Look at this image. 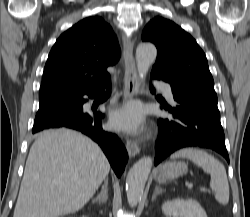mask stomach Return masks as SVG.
<instances>
[{
	"label": "stomach",
	"instance_id": "obj_1",
	"mask_svg": "<svg viewBox=\"0 0 250 217\" xmlns=\"http://www.w3.org/2000/svg\"><path fill=\"white\" fill-rule=\"evenodd\" d=\"M187 170V164L184 162H167L156 169L155 180L163 183L186 174Z\"/></svg>",
	"mask_w": 250,
	"mask_h": 217
}]
</instances>
